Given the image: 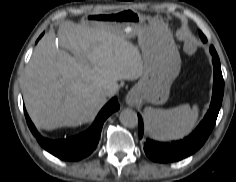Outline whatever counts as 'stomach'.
Returning <instances> with one entry per match:
<instances>
[{
	"label": "stomach",
	"instance_id": "0dacf381",
	"mask_svg": "<svg viewBox=\"0 0 236 182\" xmlns=\"http://www.w3.org/2000/svg\"><path fill=\"white\" fill-rule=\"evenodd\" d=\"M91 25L103 26L126 39L138 36L143 49V74L130 90L138 102L160 105L168 100L170 86L178 76L181 59L167 25L160 19L127 9L111 15L93 13Z\"/></svg>",
	"mask_w": 236,
	"mask_h": 182
}]
</instances>
